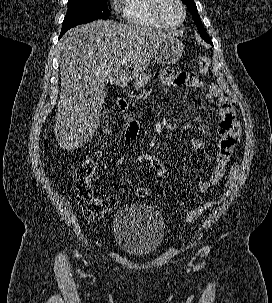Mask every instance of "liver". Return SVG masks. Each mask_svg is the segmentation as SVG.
<instances>
[{
  "instance_id": "liver-1",
  "label": "liver",
  "mask_w": 272,
  "mask_h": 303,
  "mask_svg": "<svg viewBox=\"0 0 272 303\" xmlns=\"http://www.w3.org/2000/svg\"><path fill=\"white\" fill-rule=\"evenodd\" d=\"M169 37L171 33L111 20L79 25L63 35L54 125L61 147L76 149L90 140L107 95L105 82L117 77L124 66L134 73L145 70L160 43Z\"/></svg>"
}]
</instances>
